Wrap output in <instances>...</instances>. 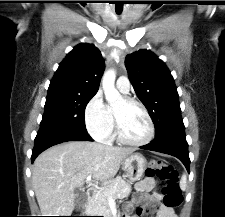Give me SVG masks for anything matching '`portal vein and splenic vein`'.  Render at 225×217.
<instances>
[{
    "label": "portal vein and splenic vein",
    "instance_id": "18ae733b",
    "mask_svg": "<svg viewBox=\"0 0 225 217\" xmlns=\"http://www.w3.org/2000/svg\"><path fill=\"white\" fill-rule=\"evenodd\" d=\"M86 179H87V182L90 183V181H91V175H89Z\"/></svg>",
    "mask_w": 225,
    "mask_h": 217
}]
</instances>
